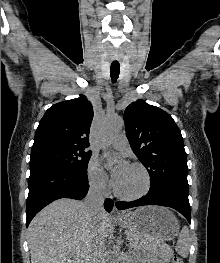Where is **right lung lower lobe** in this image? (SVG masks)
Wrapping results in <instances>:
<instances>
[{"label": "right lung lower lobe", "mask_w": 220, "mask_h": 263, "mask_svg": "<svg viewBox=\"0 0 220 263\" xmlns=\"http://www.w3.org/2000/svg\"><path fill=\"white\" fill-rule=\"evenodd\" d=\"M29 194L26 207V226L46 205L60 198L83 199L89 189L87 171L76 172L46 162L30 163ZM106 211L113 208V201L106 199Z\"/></svg>", "instance_id": "1"}]
</instances>
